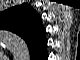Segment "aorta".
Returning a JSON list of instances; mask_svg holds the SVG:
<instances>
[{"label": "aorta", "mask_w": 80, "mask_h": 60, "mask_svg": "<svg viewBox=\"0 0 80 60\" xmlns=\"http://www.w3.org/2000/svg\"><path fill=\"white\" fill-rule=\"evenodd\" d=\"M3 39L7 45V47L14 53H28V48L26 43L23 39H21L19 36L12 34V33H5L3 35Z\"/></svg>", "instance_id": "762f6f07"}]
</instances>
